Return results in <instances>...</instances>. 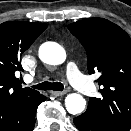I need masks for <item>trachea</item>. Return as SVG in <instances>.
Here are the masks:
<instances>
[{
	"label": "trachea",
	"mask_w": 131,
	"mask_h": 131,
	"mask_svg": "<svg viewBox=\"0 0 131 131\" xmlns=\"http://www.w3.org/2000/svg\"><path fill=\"white\" fill-rule=\"evenodd\" d=\"M32 87L38 90L63 91L64 89L63 84L60 82H42Z\"/></svg>",
	"instance_id": "obj_1"
}]
</instances>
